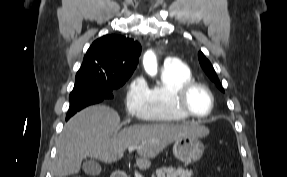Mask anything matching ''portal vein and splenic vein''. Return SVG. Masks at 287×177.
Returning <instances> with one entry per match:
<instances>
[{
    "mask_svg": "<svg viewBox=\"0 0 287 177\" xmlns=\"http://www.w3.org/2000/svg\"><path fill=\"white\" fill-rule=\"evenodd\" d=\"M135 149H137V146H130V147H128V151L129 152H132V151H134ZM135 177H142V175L141 174H139L138 172H135Z\"/></svg>",
    "mask_w": 287,
    "mask_h": 177,
    "instance_id": "1",
    "label": "portal vein and splenic vein"
}]
</instances>
